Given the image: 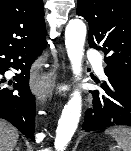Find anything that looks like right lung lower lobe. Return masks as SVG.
I'll return each mask as SVG.
<instances>
[{
	"instance_id": "right-lung-lower-lobe-1",
	"label": "right lung lower lobe",
	"mask_w": 131,
	"mask_h": 151,
	"mask_svg": "<svg viewBox=\"0 0 131 151\" xmlns=\"http://www.w3.org/2000/svg\"><path fill=\"white\" fill-rule=\"evenodd\" d=\"M46 43L18 49H0V75L9 67L20 70L14 89L4 87L0 76V118L12 123L24 135L34 140L35 96L29 89L30 67L45 49ZM18 91V92H17Z\"/></svg>"
}]
</instances>
